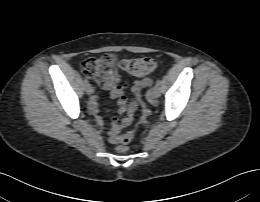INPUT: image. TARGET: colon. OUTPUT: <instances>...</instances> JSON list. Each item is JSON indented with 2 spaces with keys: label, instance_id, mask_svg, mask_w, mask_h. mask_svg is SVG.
<instances>
[{
  "label": "colon",
  "instance_id": "1",
  "mask_svg": "<svg viewBox=\"0 0 260 202\" xmlns=\"http://www.w3.org/2000/svg\"><path fill=\"white\" fill-rule=\"evenodd\" d=\"M156 66L157 61L152 57L124 59L119 62L116 56L107 54L100 58H89L84 60L81 63V70L86 77L97 81L99 84H107L117 77L119 69L131 76L143 77L152 72ZM151 85L152 80L148 78L139 79L134 85V91L136 94L134 101L137 104L140 103L142 105V116L138 124L133 129L117 137V141L120 143L117 147V151L120 153L127 152L128 148L126 144L132 141L138 127L145 124L147 121L150 111L140 100L139 93L142 89Z\"/></svg>",
  "mask_w": 260,
  "mask_h": 202
}]
</instances>
